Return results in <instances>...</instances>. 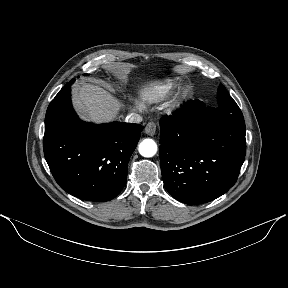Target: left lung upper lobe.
Here are the masks:
<instances>
[{
    "mask_svg": "<svg viewBox=\"0 0 288 288\" xmlns=\"http://www.w3.org/2000/svg\"><path fill=\"white\" fill-rule=\"evenodd\" d=\"M217 98L218 107H209V113L220 120L229 121L245 128V121L240 108L222 84L218 88Z\"/></svg>",
    "mask_w": 288,
    "mask_h": 288,
    "instance_id": "obj_1",
    "label": "left lung upper lobe"
}]
</instances>
